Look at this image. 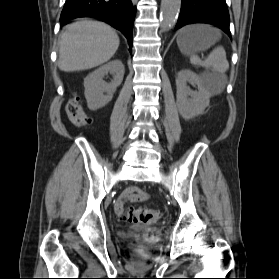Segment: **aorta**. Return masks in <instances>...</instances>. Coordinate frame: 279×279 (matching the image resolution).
I'll list each match as a JSON object with an SVG mask.
<instances>
[{
	"label": "aorta",
	"instance_id": "obj_1",
	"mask_svg": "<svg viewBox=\"0 0 279 279\" xmlns=\"http://www.w3.org/2000/svg\"><path fill=\"white\" fill-rule=\"evenodd\" d=\"M181 8V0H162L160 13V27L168 31L176 22Z\"/></svg>",
	"mask_w": 279,
	"mask_h": 279
}]
</instances>
